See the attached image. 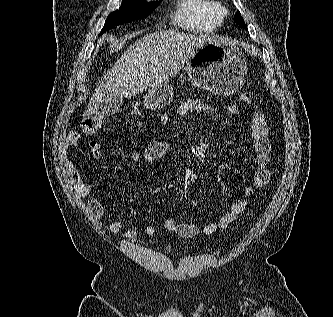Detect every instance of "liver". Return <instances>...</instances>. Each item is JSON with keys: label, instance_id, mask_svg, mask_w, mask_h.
Listing matches in <instances>:
<instances>
[{"label": "liver", "instance_id": "liver-1", "mask_svg": "<svg viewBox=\"0 0 333 317\" xmlns=\"http://www.w3.org/2000/svg\"><path fill=\"white\" fill-rule=\"evenodd\" d=\"M210 35L159 31L146 35L131 45L104 76L83 114L85 119L96 113L108 98H130L176 77L185 62Z\"/></svg>", "mask_w": 333, "mask_h": 317}]
</instances>
